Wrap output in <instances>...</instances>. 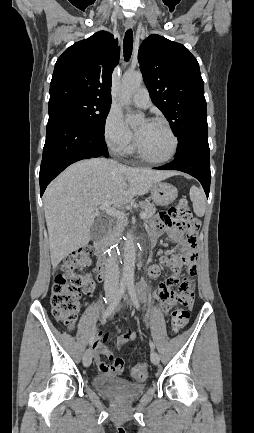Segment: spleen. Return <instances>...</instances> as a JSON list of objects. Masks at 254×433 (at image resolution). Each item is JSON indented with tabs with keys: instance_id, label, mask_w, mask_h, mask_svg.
Returning a JSON list of instances; mask_svg holds the SVG:
<instances>
[{
	"instance_id": "spleen-1",
	"label": "spleen",
	"mask_w": 254,
	"mask_h": 433,
	"mask_svg": "<svg viewBox=\"0 0 254 433\" xmlns=\"http://www.w3.org/2000/svg\"><path fill=\"white\" fill-rule=\"evenodd\" d=\"M189 194H190V199L193 203L194 213L198 217L204 216L206 210V201H205V195L203 191L193 186L191 187Z\"/></svg>"
}]
</instances>
